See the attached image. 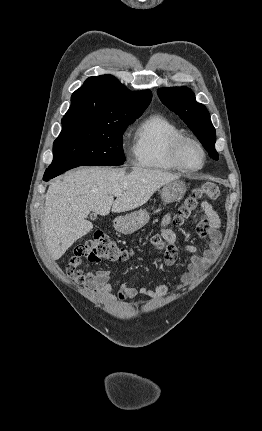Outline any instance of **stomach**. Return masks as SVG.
<instances>
[{
	"instance_id": "1",
	"label": "stomach",
	"mask_w": 262,
	"mask_h": 431,
	"mask_svg": "<svg viewBox=\"0 0 262 431\" xmlns=\"http://www.w3.org/2000/svg\"><path fill=\"white\" fill-rule=\"evenodd\" d=\"M186 192V185L180 180H174L165 184L160 191L163 203L168 204L181 199ZM150 216L145 209H140L131 214L119 217L115 222V228L123 234H132L149 222Z\"/></svg>"
}]
</instances>
